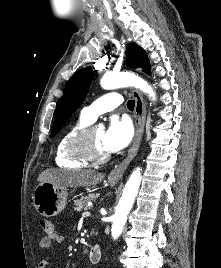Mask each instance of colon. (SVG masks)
I'll list each match as a JSON object with an SVG mask.
<instances>
[{"mask_svg": "<svg viewBox=\"0 0 221 268\" xmlns=\"http://www.w3.org/2000/svg\"><path fill=\"white\" fill-rule=\"evenodd\" d=\"M40 226L46 233L51 232L54 228L52 222L49 221L48 219H41Z\"/></svg>", "mask_w": 221, "mask_h": 268, "instance_id": "1", "label": "colon"}]
</instances>
